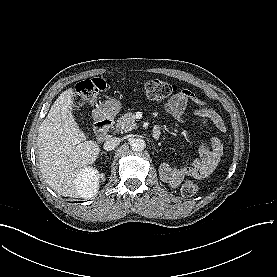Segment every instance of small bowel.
Masks as SVG:
<instances>
[{"mask_svg":"<svg viewBox=\"0 0 277 277\" xmlns=\"http://www.w3.org/2000/svg\"><path fill=\"white\" fill-rule=\"evenodd\" d=\"M188 103L196 106L194 114L199 119L211 123L220 132L226 131L223 119L212 109L204 107V102L190 90L178 92L165 103L164 107L176 120H183ZM222 152L223 145L216 139L211 140L209 144H202L201 153L205 160L187 163L183 168L184 174L196 177L209 176L212 173L214 160L219 159Z\"/></svg>","mask_w":277,"mask_h":277,"instance_id":"c3829d8e","label":"small bowel"}]
</instances>
